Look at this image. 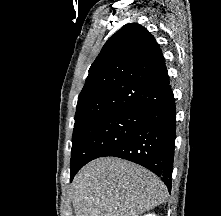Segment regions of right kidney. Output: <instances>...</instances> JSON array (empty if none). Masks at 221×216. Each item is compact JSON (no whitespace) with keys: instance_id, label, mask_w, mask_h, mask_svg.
Returning a JSON list of instances; mask_svg holds the SVG:
<instances>
[{"instance_id":"ca27d5eb","label":"right kidney","mask_w":221,"mask_h":216,"mask_svg":"<svg viewBox=\"0 0 221 216\" xmlns=\"http://www.w3.org/2000/svg\"><path fill=\"white\" fill-rule=\"evenodd\" d=\"M144 216H157V215H155V214H146Z\"/></svg>"}]
</instances>
